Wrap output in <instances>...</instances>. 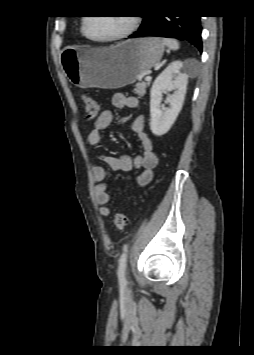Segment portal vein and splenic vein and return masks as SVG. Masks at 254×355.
I'll use <instances>...</instances> for the list:
<instances>
[{"instance_id":"portal-vein-and-splenic-vein-1","label":"portal vein and splenic vein","mask_w":254,"mask_h":355,"mask_svg":"<svg viewBox=\"0 0 254 355\" xmlns=\"http://www.w3.org/2000/svg\"><path fill=\"white\" fill-rule=\"evenodd\" d=\"M145 80H146V81H150V80H151V77H150V76H146V77H145Z\"/></svg>"}]
</instances>
